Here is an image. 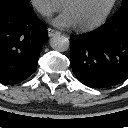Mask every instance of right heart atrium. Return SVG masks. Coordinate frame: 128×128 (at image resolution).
<instances>
[{
  "instance_id": "right-heart-atrium-1",
  "label": "right heart atrium",
  "mask_w": 128,
  "mask_h": 128,
  "mask_svg": "<svg viewBox=\"0 0 128 128\" xmlns=\"http://www.w3.org/2000/svg\"><path fill=\"white\" fill-rule=\"evenodd\" d=\"M34 8L44 17H49L62 7L60 0H31Z\"/></svg>"
}]
</instances>
